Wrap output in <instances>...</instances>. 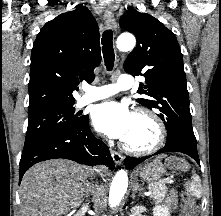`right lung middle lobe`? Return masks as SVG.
<instances>
[{"label":"right lung middle lobe","mask_w":221,"mask_h":216,"mask_svg":"<svg viewBox=\"0 0 221 216\" xmlns=\"http://www.w3.org/2000/svg\"><path fill=\"white\" fill-rule=\"evenodd\" d=\"M73 105L50 108L29 115L24 148L30 147L55 133L71 128L82 121L83 117L74 114Z\"/></svg>","instance_id":"obj_1"}]
</instances>
